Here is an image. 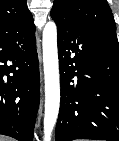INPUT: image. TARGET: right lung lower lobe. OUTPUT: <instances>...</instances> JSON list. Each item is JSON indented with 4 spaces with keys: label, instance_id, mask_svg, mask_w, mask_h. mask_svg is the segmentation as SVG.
Here are the masks:
<instances>
[{
    "label": "right lung lower lobe",
    "instance_id": "obj_1",
    "mask_svg": "<svg viewBox=\"0 0 119 141\" xmlns=\"http://www.w3.org/2000/svg\"><path fill=\"white\" fill-rule=\"evenodd\" d=\"M38 106L39 67L32 18L0 30V134L33 141Z\"/></svg>",
    "mask_w": 119,
    "mask_h": 141
}]
</instances>
